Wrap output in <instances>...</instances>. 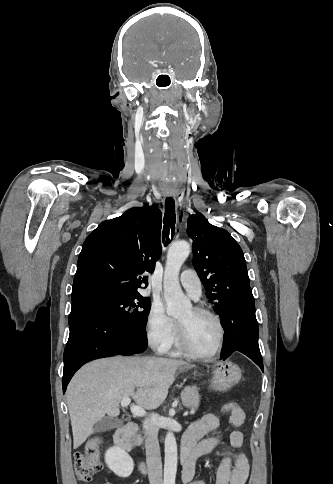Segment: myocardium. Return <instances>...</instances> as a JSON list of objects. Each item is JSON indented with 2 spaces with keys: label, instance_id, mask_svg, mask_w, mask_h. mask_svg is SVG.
Masks as SVG:
<instances>
[{
  "label": "myocardium",
  "instance_id": "f54148a6",
  "mask_svg": "<svg viewBox=\"0 0 333 484\" xmlns=\"http://www.w3.org/2000/svg\"><path fill=\"white\" fill-rule=\"evenodd\" d=\"M192 310L196 314L207 315V316L211 317L216 322L217 327H218V331H219L216 346L210 353H200V352H198L197 350H195L193 348L192 344L190 343V340L188 338V335H187V332H186L184 326L179 321H177L176 326H177V335H178L179 344H180V346H181V348L184 352H186L188 355H190L194 358L204 359V360L212 359L216 355L219 354V352L221 351V349L223 347L224 338H225V328H224L223 322H222L220 316L217 313H215L214 311H212V310H210L206 307L195 306V307L192 308Z\"/></svg>",
  "mask_w": 333,
  "mask_h": 484
}]
</instances>
